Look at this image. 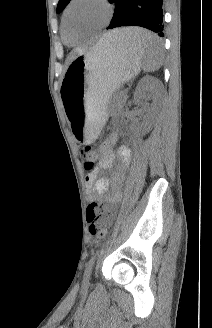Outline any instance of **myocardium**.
I'll list each match as a JSON object with an SVG mask.
<instances>
[{
	"mask_svg": "<svg viewBox=\"0 0 212 328\" xmlns=\"http://www.w3.org/2000/svg\"><path fill=\"white\" fill-rule=\"evenodd\" d=\"M80 0H70L69 3L67 4V6L65 7L64 11H63V18H62V21H63V25H64V28L65 30L69 31V24H68V14H69V11L70 9L72 8L73 5H75L76 3H78ZM99 3H101L106 11H107V17L105 19V21L97 26V27H94L92 29H89L85 32V34H88V33H94L96 31H99L101 29H103L107 23L110 21V19L112 18L113 16V13H114V7L111 3L110 0H97Z\"/></svg>",
	"mask_w": 212,
	"mask_h": 328,
	"instance_id": "myocardium-1",
	"label": "myocardium"
}]
</instances>
